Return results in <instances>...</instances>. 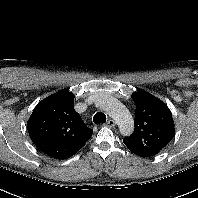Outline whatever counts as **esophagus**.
<instances>
[{
  "instance_id": "34e87169",
  "label": "esophagus",
  "mask_w": 198,
  "mask_h": 198,
  "mask_svg": "<svg viewBox=\"0 0 198 198\" xmlns=\"http://www.w3.org/2000/svg\"><path fill=\"white\" fill-rule=\"evenodd\" d=\"M116 125V122L113 119H109L106 123V126L108 127H114Z\"/></svg>"
}]
</instances>
